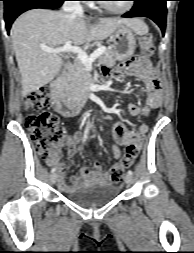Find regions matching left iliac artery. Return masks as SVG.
<instances>
[{
    "label": "left iliac artery",
    "mask_w": 194,
    "mask_h": 253,
    "mask_svg": "<svg viewBox=\"0 0 194 253\" xmlns=\"http://www.w3.org/2000/svg\"><path fill=\"white\" fill-rule=\"evenodd\" d=\"M127 174L133 175V172H132L131 170H128V171H127Z\"/></svg>",
    "instance_id": "44dca946"
}]
</instances>
